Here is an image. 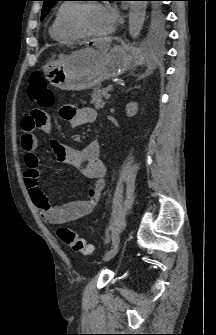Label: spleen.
<instances>
[{
  "label": "spleen",
  "mask_w": 216,
  "mask_h": 335,
  "mask_svg": "<svg viewBox=\"0 0 216 335\" xmlns=\"http://www.w3.org/2000/svg\"><path fill=\"white\" fill-rule=\"evenodd\" d=\"M149 70L152 71V67H151V65H149Z\"/></svg>",
  "instance_id": "spleen-1"
}]
</instances>
